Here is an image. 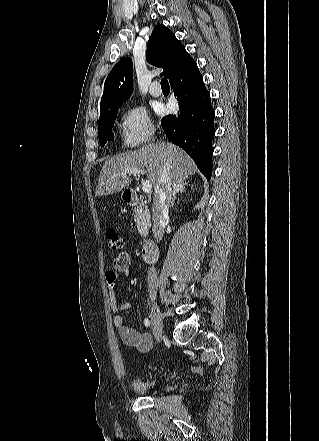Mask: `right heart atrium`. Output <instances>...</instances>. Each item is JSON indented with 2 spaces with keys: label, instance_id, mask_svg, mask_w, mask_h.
Masks as SVG:
<instances>
[{
  "label": "right heart atrium",
  "instance_id": "d8ad5b80",
  "mask_svg": "<svg viewBox=\"0 0 319 441\" xmlns=\"http://www.w3.org/2000/svg\"><path fill=\"white\" fill-rule=\"evenodd\" d=\"M120 123L122 141L127 148L144 145L154 134V125L142 106H132L124 111Z\"/></svg>",
  "mask_w": 319,
  "mask_h": 441
}]
</instances>
